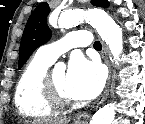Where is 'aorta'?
Instances as JSON below:
<instances>
[{
    "label": "aorta",
    "mask_w": 145,
    "mask_h": 124,
    "mask_svg": "<svg viewBox=\"0 0 145 124\" xmlns=\"http://www.w3.org/2000/svg\"><path fill=\"white\" fill-rule=\"evenodd\" d=\"M88 21L99 33L101 39L108 45L116 63L120 61L123 51L122 28L103 10H72L62 13L59 25L73 27L82 21ZM57 67L65 70L64 63H58ZM116 104L110 103L100 108L93 116L90 124H112L115 118Z\"/></svg>",
    "instance_id": "762f6f07"
}]
</instances>
